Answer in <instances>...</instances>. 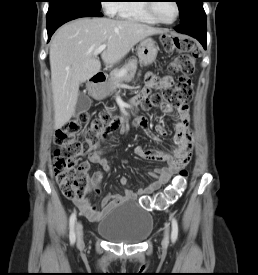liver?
Segmentation results:
<instances>
[{
	"mask_svg": "<svg viewBox=\"0 0 258 275\" xmlns=\"http://www.w3.org/2000/svg\"><path fill=\"white\" fill-rule=\"evenodd\" d=\"M160 33L161 29L134 20L110 18H79L60 27L49 53L55 129L73 116L80 84L100 70V61L94 55L100 45H107L101 57L111 66L139 41Z\"/></svg>",
	"mask_w": 258,
	"mask_h": 275,
	"instance_id": "1",
	"label": "liver"
}]
</instances>
